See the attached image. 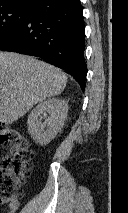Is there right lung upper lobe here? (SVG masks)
I'll return each instance as SVG.
<instances>
[{
  "instance_id": "cb5924a9",
  "label": "right lung upper lobe",
  "mask_w": 128,
  "mask_h": 213,
  "mask_svg": "<svg viewBox=\"0 0 128 213\" xmlns=\"http://www.w3.org/2000/svg\"><path fill=\"white\" fill-rule=\"evenodd\" d=\"M39 0H0V7L6 5L26 6L32 8Z\"/></svg>"
}]
</instances>
